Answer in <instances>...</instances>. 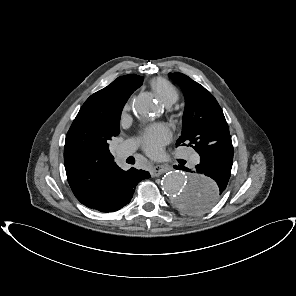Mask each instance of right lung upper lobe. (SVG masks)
Instances as JSON below:
<instances>
[{
  "instance_id": "cb5924a9",
  "label": "right lung upper lobe",
  "mask_w": 296,
  "mask_h": 296,
  "mask_svg": "<svg viewBox=\"0 0 296 296\" xmlns=\"http://www.w3.org/2000/svg\"><path fill=\"white\" fill-rule=\"evenodd\" d=\"M143 77H118L91 95L74 119L65 140L64 164L75 197L86 203L121 168L114 162L108 141L119 134L122 109L142 85Z\"/></svg>"
}]
</instances>
